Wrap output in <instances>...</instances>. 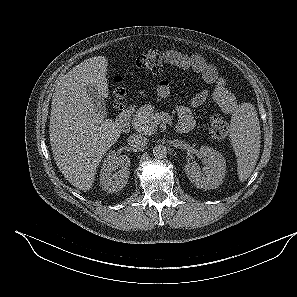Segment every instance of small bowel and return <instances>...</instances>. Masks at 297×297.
<instances>
[{"mask_svg": "<svg viewBox=\"0 0 297 297\" xmlns=\"http://www.w3.org/2000/svg\"><path fill=\"white\" fill-rule=\"evenodd\" d=\"M166 60L182 71H194L198 73L204 82L211 85V89L196 94L189 105H180L177 107L179 116V127L188 126L190 130L194 125L192 108L200 107L207 99L212 100L226 114L234 113L238 104L234 95L226 86V82L219 75L216 67L200 54H185L174 49H166L164 52ZM158 95L162 98L170 96V86L166 80L160 81L157 89ZM180 131V130H179Z\"/></svg>", "mask_w": 297, "mask_h": 297, "instance_id": "small-bowel-1", "label": "small bowel"}]
</instances>
